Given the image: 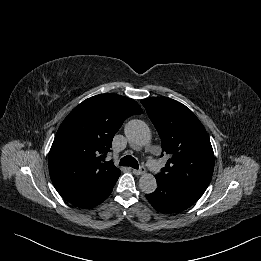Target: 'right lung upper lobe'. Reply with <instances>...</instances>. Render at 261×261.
I'll list each match as a JSON object with an SVG mask.
<instances>
[{
    "instance_id": "1",
    "label": "right lung upper lobe",
    "mask_w": 261,
    "mask_h": 261,
    "mask_svg": "<svg viewBox=\"0 0 261 261\" xmlns=\"http://www.w3.org/2000/svg\"><path fill=\"white\" fill-rule=\"evenodd\" d=\"M142 113L136 101L115 94L88 98L69 113L48 156L52 183L66 201L96 194L120 175L106 155L123 122Z\"/></svg>"
}]
</instances>
